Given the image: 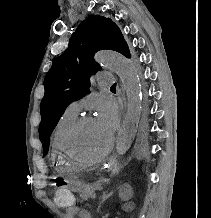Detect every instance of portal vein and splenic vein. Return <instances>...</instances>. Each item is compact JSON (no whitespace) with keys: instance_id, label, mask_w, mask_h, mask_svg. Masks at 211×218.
Here are the masks:
<instances>
[{"instance_id":"portal-vein-and-splenic-vein-1","label":"portal vein and splenic vein","mask_w":211,"mask_h":218,"mask_svg":"<svg viewBox=\"0 0 211 218\" xmlns=\"http://www.w3.org/2000/svg\"><path fill=\"white\" fill-rule=\"evenodd\" d=\"M106 187L105 186H100V189H105Z\"/></svg>"}]
</instances>
